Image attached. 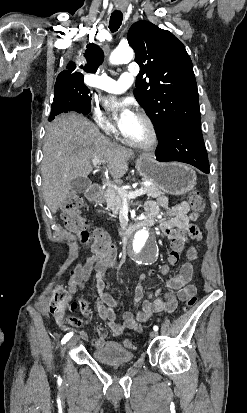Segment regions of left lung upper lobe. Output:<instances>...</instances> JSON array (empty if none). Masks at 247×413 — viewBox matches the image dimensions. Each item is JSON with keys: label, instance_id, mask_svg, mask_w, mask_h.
<instances>
[{"label": "left lung upper lobe", "instance_id": "left-lung-upper-lobe-1", "mask_svg": "<svg viewBox=\"0 0 247 413\" xmlns=\"http://www.w3.org/2000/svg\"><path fill=\"white\" fill-rule=\"evenodd\" d=\"M127 39L140 66L134 94L157 136L176 125L201 127L196 79L183 43L148 21L133 24Z\"/></svg>", "mask_w": 247, "mask_h": 413}]
</instances>
